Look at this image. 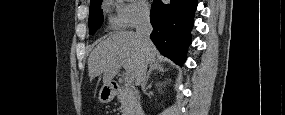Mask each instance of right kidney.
Here are the masks:
<instances>
[{"label": "right kidney", "instance_id": "ca27d5eb", "mask_svg": "<svg viewBox=\"0 0 285 115\" xmlns=\"http://www.w3.org/2000/svg\"><path fill=\"white\" fill-rule=\"evenodd\" d=\"M162 85H163V83H158V84H157V86H159V87L162 86ZM159 90H160V89H159Z\"/></svg>", "mask_w": 285, "mask_h": 115}]
</instances>
